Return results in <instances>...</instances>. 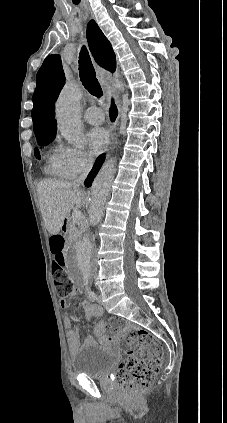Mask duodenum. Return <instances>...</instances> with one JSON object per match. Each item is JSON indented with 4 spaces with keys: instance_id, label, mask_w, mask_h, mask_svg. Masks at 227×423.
<instances>
[{
    "instance_id": "1",
    "label": "duodenum",
    "mask_w": 227,
    "mask_h": 423,
    "mask_svg": "<svg viewBox=\"0 0 227 423\" xmlns=\"http://www.w3.org/2000/svg\"><path fill=\"white\" fill-rule=\"evenodd\" d=\"M65 233L67 234V233H68V231H65ZM57 270H59V269H57Z\"/></svg>"
}]
</instances>
